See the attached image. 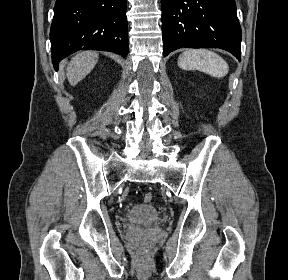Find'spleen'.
<instances>
[{
	"instance_id": "obj_1",
	"label": "spleen",
	"mask_w": 288,
	"mask_h": 280,
	"mask_svg": "<svg viewBox=\"0 0 288 280\" xmlns=\"http://www.w3.org/2000/svg\"><path fill=\"white\" fill-rule=\"evenodd\" d=\"M178 66L184 70H199L220 78L228 74L227 62L216 53L207 49H191L178 58Z\"/></svg>"
}]
</instances>
